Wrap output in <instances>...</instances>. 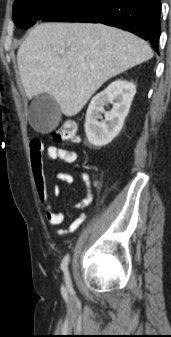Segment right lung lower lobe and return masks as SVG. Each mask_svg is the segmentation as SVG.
I'll use <instances>...</instances> for the list:
<instances>
[{
    "label": "right lung lower lobe",
    "instance_id": "right-lung-lower-lobe-1",
    "mask_svg": "<svg viewBox=\"0 0 171 337\" xmlns=\"http://www.w3.org/2000/svg\"><path fill=\"white\" fill-rule=\"evenodd\" d=\"M160 0H67L43 21L103 23L130 31L158 52Z\"/></svg>",
    "mask_w": 171,
    "mask_h": 337
}]
</instances>
